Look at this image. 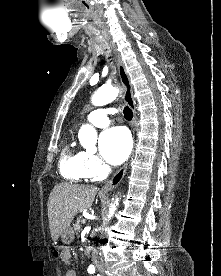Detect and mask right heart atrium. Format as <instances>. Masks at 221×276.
<instances>
[{
  "mask_svg": "<svg viewBox=\"0 0 221 276\" xmlns=\"http://www.w3.org/2000/svg\"><path fill=\"white\" fill-rule=\"evenodd\" d=\"M83 165L86 175L89 178H96L104 175L107 172V167L104 165V163L93 154L84 152Z\"/></svg>",
  "mask_w": 221,
  "mask_h": 276,
  "instance_id": "1",
  "label": "right heart atrium"
}]
</instances>
